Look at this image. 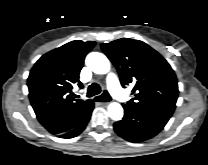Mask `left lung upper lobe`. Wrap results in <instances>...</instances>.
Wrapping results in <instances>:
<instances>
[{
  "mask_svg": "<svg viewBox=\"0 0 208 165\" xmlns=\"http://www.w3.org/2000/svg\"><path fill=\"white\" fill-rule=\"evenodd\" d=\"M101 48L118 70L122 86H134V98L123 105L139 111L173 114L179 93L176 75L157 51L129 38L103 43Z\"/></svg>",
  "mask_w": 208,
  "mask_h": 165,
  "instance_id": "obj_1",
  "label": "left lung upper lobe"
}]
</instances>
